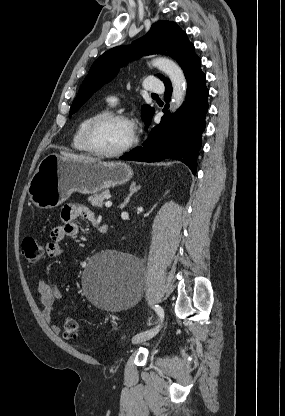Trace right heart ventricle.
Instances as JSON below:
<instances>
[{
  "mask_svg": "<svg viewBox=\"0 0 285 416\" xmlns=\"http://www.w3.org/2000/svg\"><path fill=\"white\" fill-rule=\"evenodd\" d=\"M100 113H101V111H96V112H93L91 114H88V115L84 116L78 122V124L75 128V131L73 133V136H72V146L77 151L82 152V153H89V151L87 150V148H86V146L83 142V131H84V128H85L86 124L88 123V121L92 117H94V116H96Z\"/></svg>",
  "mask_w": 285,
  "mask_h": 416,
  "instance_id": "right-heart-ventricle-1",
  "label": "right heart ventricle"
}]
</instances>
